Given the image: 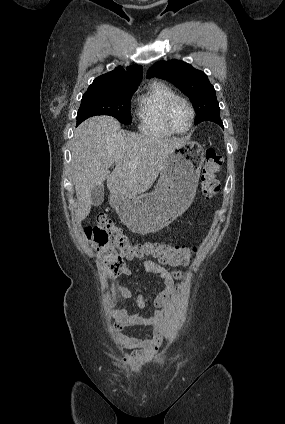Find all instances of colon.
I'll list each match as a JSON object with an SVG mask.
<instances>
[{"instance_id": "1", "label": "colon", "mask_w": 285, "mask_h": 424, "mask_svg": "<svg viewBox=\"0 0 285 424\" xmlns=\"http://www.w3.org/2000/svg\"><path fill=\"white\" fill-rule=\"evenodd\" d=\"M200 191L206 198H213L220 191L218 172L223 158L213 149L205 150ZM109 276H116L125 268V260L144 257L156 258L162 264L185 265L196 252L195 247L162 242L133 243L122 228L106 215H97L95 222L85 229Z\"/></svg>"}]
</instances>
